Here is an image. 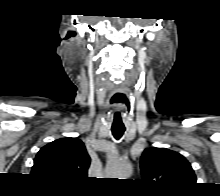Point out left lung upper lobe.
<instances>
[{"mask_svg": "<svg viewBox=\"0 0 220 196\" xmlns=\"http://www.w3.org/2000/svg\"><path fill=\"white\" fill-rule=\"evenodd\" d=\"M144 181L165 193H181L195 185L190 163L179 153L166 148H147L141 156Z\"/></svg>", "mask_w": 220, "mask_h": 196, "instance_id": "1", "label": "left lung upper lobe"}]
</instances>
